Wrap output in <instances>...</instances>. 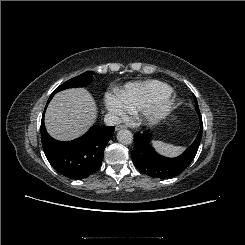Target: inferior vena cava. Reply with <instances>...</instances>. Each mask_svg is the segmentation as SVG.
<instances>
[{
	"label": "inferior vena cava",
	"mask_w": 245,
	"mask_h": 245,
	"mask_svg": "<svg viewBox=\"0 0 245 245\" xmlns=\"http://www.w3.org/2000/svg\"><path fill=\"white\" fill-rule=\"evenodd\" d=\"M104 122L107 126H114L120 124L121 119L114 114L108 113L104 117Z\"/></svg>",
	"instance_id": "obj_1"
}]
</instances>
